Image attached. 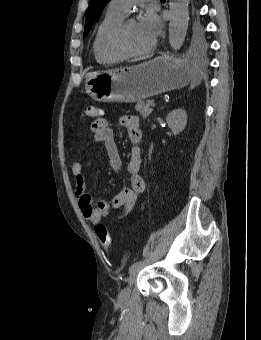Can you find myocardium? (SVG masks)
<instances>
[{"instance_id":"obj_1","label":"myocardium","mask_w":261,"mask_h":340,"mask_svg":"<svg viewBox=\"0 0 261 340\" xmlns=\"http://www.w3.org/2000/svg\"><path fill=\"white\" fill-rule=\"evenodd\" d=\"M136 20L132 17L124 18L112 31L109 38V47L110 49L119 55L122 58H130V57H138L143 56L150 53L156 44V41L153 40L152 44L140 51H130L125 46L124 35L127 27Z\"/></svg>"}]
</instances>
